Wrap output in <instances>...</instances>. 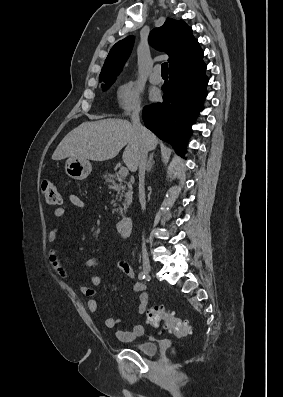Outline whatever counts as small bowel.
I'll list each match as a JSON object with an SVG mask.
<instances>
[{"label":"small bowel","mask_w":283,"mask_h":397,"mask_svg":"<svg viewBox=\"0 0 283 397\" xmlns=\"http://www.w3.org/2000/svg\"><path fill=\"white\" fill-rule=\"evenodd\" d=\"M69 201L70 203L76 207L77 209H84L85 208V203L84 201L76 194H70L69 195ZM67 210L64 207H58L53 211V216L55 218H62L66 215ZM61 232V229L59 226L53 227L48 235H47V240L49 242H55ZM48 260L50 263V266L54 270V272L60 276L63 279H67L69 277L67 269L64 267L62 264L58 253L56 249L51 248L48 251ZM117 268L129 279L134 278V270L132 266L125 262V261H118L116 263ZM85 266L87 268H98L99 267V260L96 257H91L88 258L85 261ZM103 277L102 275H95L89 278V285H83L79 287L80 292L88 297L87 301V307L90 312L95 313L98 310V304L96 300L93 298L95 295V286H98L102 283ZM132 291L135 293H138V313L143 314L147 308L148 305V294L145 291V285L141 282H133L132 284ZM103 324L106 328L109 329H114L117 328L120 324L121 321L119 319L113 318V317H106L103 320ZM144 326L142 324H136L131 330H122V329H117L116 330V337L118 340L122 342H131L139 337H141L144 334Z\"/></svg>","instance_id":"1"}]
</instances>
